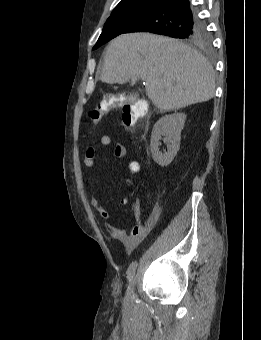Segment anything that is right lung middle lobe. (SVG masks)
Listing matches in <instances>:
<instances>
[{"label": "right lung middle lobe", "mask_w": 261, "mask_h": 340, "mask_svg": "<svg viewBox=\"0 0 261 340\" xmlns=\"http://www.w3.org/2000/svg\"><path fill=\"white\" fill-rule=\"evenodd\" d=\"M159 2L140 1L124 5H118L107 19L103 31L93 49L100 47L112 38L120 35L146 13L154 9ZM174 38L185 39L187 42L200 46L210 44V36L204 23L200 20L196 25L185 31L182 35L177 34Z\"/></svg>", "instance_id": "1"}]
</instances>
